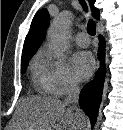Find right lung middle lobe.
<instances>
[{
	"mask_svg": "<svg viewBox=\"0 0 123 130\" xmlns=\"http://www.w3.org/2000/svg\"><path fill=\"white\" fill-rule=\"evenodd\" d=\"M32 56H33V54L22 56V63H21L22 69H24L28 65L29 60L32 58Z\"/></svg>",
	"mask_w": 123,
	"mask_h": 130,
	"instance_id": "obj_1",
	"label": "right lung middle lobe"
}]
</instances>
